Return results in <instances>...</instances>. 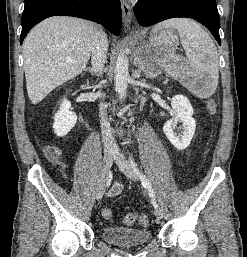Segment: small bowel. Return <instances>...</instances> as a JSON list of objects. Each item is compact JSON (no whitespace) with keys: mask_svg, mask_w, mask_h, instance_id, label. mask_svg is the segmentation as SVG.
<instances>
[{"mask_svg":"<svg viewBox=\"0 0 247 257\" xmlns=\"http://www.w3.org/2000/svg\"><path fill=\"white\" fill-rule=\"evenodd\" d=\"M58 155L55 158H52L50 160L57 162L59 160V150L56 148ZM121 191V185L119 183H116L112 186V188L109 191V196L113 197L120 193Z\"/></svg>","mask_w":247,"mask_h":257,"instance_id":"obj_1","label":"small bowel"}]
</instances>
